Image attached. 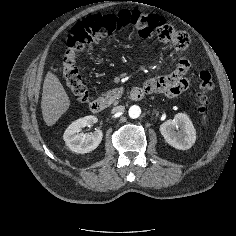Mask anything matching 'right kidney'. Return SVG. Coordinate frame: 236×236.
Instances as JSON below:
<instances>
[{"label":"right kidney","instance_id":"1","mask_svg":"<svg viewBox=\"0 0 236 236\" xmlns=\"http://www.w3.org/2000/svg\"><path fill=\"white\" fill-rule=\"evenodd\" d=\"M98 121L95 116H86L80 118L68 126L65 130L63 139L66 146L78 154L89 153L95 150L102 141V131L96 129L93 133H79L82 128L90 127Z\"/></svg>","mask_w":236,"mask_h":236}]
</instances>
